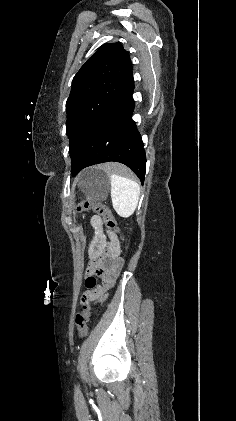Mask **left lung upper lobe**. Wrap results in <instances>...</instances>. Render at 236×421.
<instances>
[{
  "label": "left lung upper lobe",
  "instance_id": "obj_1",
  "mask_svg": "<svg viewBox=\"0 0 236 421\" xmlns=\"http://www.w3.org/2000/svg\"><path fill=\"white\" fill-rule=\"evenodd\" d=\"M131 76L129 53L121 43H110L102 45L73 78L66 102L72 165L96 122L124 91Z\"/></svg>",
  "mask_w": 236,
  "mask_h": 421
}]
</instances>
